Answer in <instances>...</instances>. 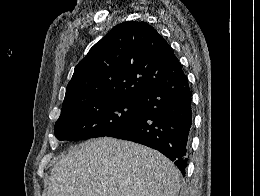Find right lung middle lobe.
Segmentation results:
<instances>
[{
    "instance_id": "dd1d6c3e",
    "label": "right lung middle lobe",
    "mask_w": 260,
    "mask_h": 196,
    "mask_svg": "<svg viewBox=\"0 0 260 196\" xmlns=\"http://www.w3.org/2000/svg\"><path fill=\"white\" fill-rule=\"evenodd\" d=\"M143 118L137 98L102 95L62 108L54 133L58 140L69 141L110 136Z\"/></svg>"
}]
</instances>
